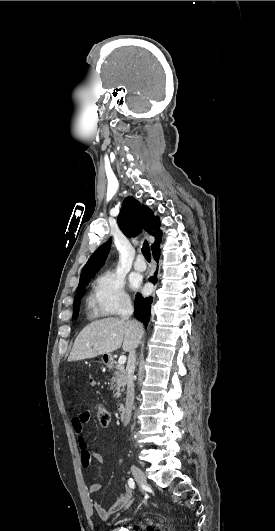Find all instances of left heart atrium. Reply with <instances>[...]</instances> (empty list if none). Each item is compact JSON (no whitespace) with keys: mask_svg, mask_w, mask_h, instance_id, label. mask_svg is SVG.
<instances>
[{"mask_svg":"<svg viewBox=\"0 0 275 531\" xmlns=\"http://www.w3.org/2000/svg\"><path fill=\"white\" fill-rule=\"evenodd\" d=\"M130 283H131L132 287H138L139 283H140V280L136 276H131Z\"/></svg>","mask_w":275,"mask_h":531,"instance_id":"39dd6f15","label":"left heart atrium"}]
</instances>
